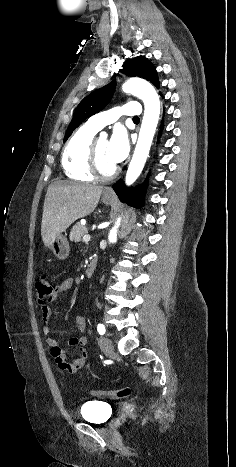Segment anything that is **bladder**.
Masks as SVG:
<instances>
[{"label": "bladder", "instance_id": "1", "mask_svg": "<svg viewBox=\"0 0 236 467\" xmlns=\"http://www.w3.org/2000/svg\"><path fill=\"white\" fill-rule=\"evenodd\" d=\"M111 411V404L101 400H92L82 405L79 416L87 422L101 424L111 415Z\"/></svg>", "mask_w": 236, "mask_h": 467}]
</instances>
